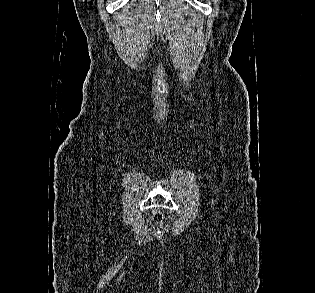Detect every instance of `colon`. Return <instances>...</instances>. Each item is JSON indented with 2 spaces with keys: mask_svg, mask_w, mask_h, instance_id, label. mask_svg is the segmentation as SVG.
I'll return each mask as SVG.
<instances>
[{
  "mask_svg": "<svg viewBox=\"0 0 315 293\" xmlns=\"http://www.w3.org/2000/svg\"><path fill=\"white\" fill-rule=\"evenodd\" d=\"M164 216H163V213L161 211H155L153 213V220L156 222V223H159L163 220Z\"/></svg>",
  "mask_w": 315,
  "mask_h": 293,
  "instance_id": "5ec220e1",
  "label": "colon"
}]
</instances>
